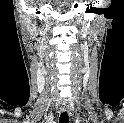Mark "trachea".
Wrapping results in <instances>:
<instances>
[{"instance_id": "1", "label": "trachea", "mask_w": 124, "mask_h": 123, "mask_svg": "<svg viewBox=\"0 0 124 123\" xmlns=\"http://www.w3.org/2000/svg\"><path fill=\"white\" fill-rule=\"evenodd\" d=\"M59 123H69V116L67 112L61 113Z\"/></svg>"}]
</instances>
